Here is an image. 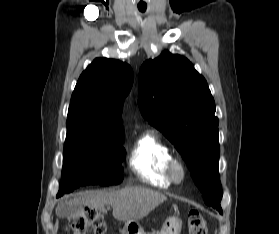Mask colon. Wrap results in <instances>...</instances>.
Wrapping results in <instances>:
<instances>
[{
    "instance_id": "1",
    "label": "colon",
    "mask_w": 279,
    "mask_h": 234,
    "mask_svg": "<svg viewBox=\"0 0 279 234\" xmlns=\"http://www.w3.org/2000/svg\"><path fill=\"white\" fill-rule=\"evenodd\" d=\"M91 231L93 234H106L107 226L103 216L94 209L85 208L72 216L65 234H86ZM188 234H208L205 218L195 210L188 215Z\"/></svg>"
}]
</instances>
